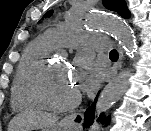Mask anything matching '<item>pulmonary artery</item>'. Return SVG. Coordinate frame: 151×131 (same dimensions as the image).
<instances>
[{
  "label": "pulmonary artery",
  "mask_w": 151,
  "mask_h": 131,
  "mask_svg": "<svg viewBox=\"0 0 151 131\" xmlns=\"http://www.w3.org/2000/svg\"><path fill=\"white\" fill-rule=\"evenodd\" d=\"M43 37L55 47H86L89 49H105L107 47L105 37L72 27L49 29Z\"/></svg>",
  "instance_id": "obj_1"
}]
</instances>
